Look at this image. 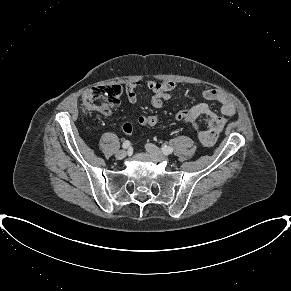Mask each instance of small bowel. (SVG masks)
<instances>
[{
    "label": "small bowel",
    "mask_w": 291,
    "mask_h": 291,
    "mask_svg": "<svg viewBox=\"0 0 291 291\" xmlns=\"http://www.w3.org/2000/svg\"><path fill=\"white\" fill-rule=\"evenodd\" d=\"M145 87L153 93L150 104L154 108H161L165 101L171 98V92L175 88V84L170 81H132L126 85V95L130 104H138V96L136 90ZM203 97L206 100L216 101L220 104L221 115L216 114L206 103L195 105L189 109L190 114L194 118L205 116L207 118L208 128L201 131L198 135L200 142L205 146L214 144L219 133L224 129L227 118L236 113V108L232 101L221 91L217 89H206L203 91ZM107 115L111 111L106 112Z\"/></svg>",
    "instance_id": "1"
}]
</instances>
